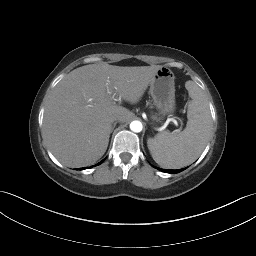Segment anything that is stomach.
Masks as SVG:
<instances>
[{"label":"stomach","instance_id":"stomach-1","mask_svg":"<svg viewBox=\"0 0 256 256\" xmlns=\"http://www.w3.org/2000/svg\"><path fill=\"white\" fill-rule=\"evenodd\" d=\"M175 76L173 72L162 67L157 71L153 81L150 83V94L154 105L163 114H171L175 111Z\"/></svg>","mask_w":256,"mask_h":256}]
</instances>
